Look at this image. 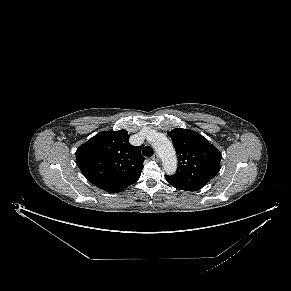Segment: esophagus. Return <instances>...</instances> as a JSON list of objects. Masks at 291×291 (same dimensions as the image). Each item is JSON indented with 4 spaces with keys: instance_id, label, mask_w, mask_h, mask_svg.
<instances>
[{
    "instance_id": "esophagus-1",
    "label": "esophagus",
    "mask_w": 291,
    "mask_h": 291,
    "mask_svg": "<svg viewBox=\"0 0 291 291\" xmlns=\"http://www.w3.org/2000/svg\"><path fill=\"white\" fill-rule=\"evenodd\" d=\"M152 158L156 161H160V156L157 153H155Z\"/></svg>"
}]
</instances>
